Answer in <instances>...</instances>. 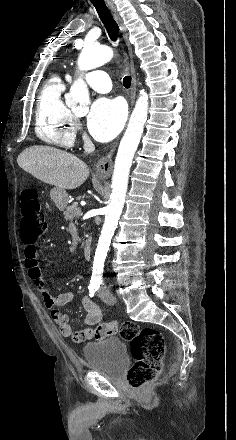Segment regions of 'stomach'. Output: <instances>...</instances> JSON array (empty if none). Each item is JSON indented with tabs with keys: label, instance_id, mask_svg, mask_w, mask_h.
<instances>
[{
	"label": "stomach",
	"instance_id": "0dacf381",
	"mask_svg": "<svg viewBox=\"0 0 236 440\" xmlns=\"http://www.w3.org/2000/svg\"><path fill=\"white\" fill-rule=\"evenodd\" d=\"M99 178L104 179V176H99ZM50 197L60 211L65 210L69 197L64 189L53 188L50 192Z\"/></svg>",
	"mask_w": 236,
	"mask_h": 440
}]
</instances>
